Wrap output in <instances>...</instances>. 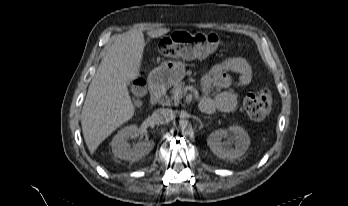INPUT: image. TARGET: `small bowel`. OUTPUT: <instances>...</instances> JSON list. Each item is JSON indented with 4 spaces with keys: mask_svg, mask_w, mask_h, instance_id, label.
<instances>
[{
    "mask_svg": "<svg viewBox=\"0 0 348 206\" xmlns=\"http://www.w3.org/2000/svg\"><path fill=\"white\" fill-rule=\"evenodd\" d=\"M232 75H237V79H233ZM251 78L252 69L246 59L238 56L222 58L204 72L201 81V110L205 113H212L216 108L224 112L233 111L237 105V97L227 89L232 86L248 85ZM214 88L222 90L212 98L209 93Z\"/></svg>",
    "mask_w": 348,
    "mask_h": 206,
    "instance_id": "small-bowel-1",
    "label": "small bowel"
}]
</instances>
